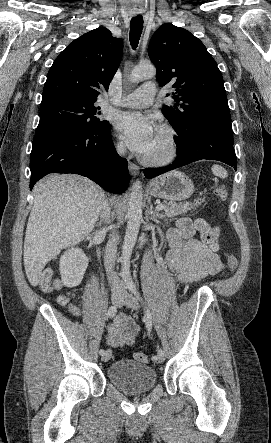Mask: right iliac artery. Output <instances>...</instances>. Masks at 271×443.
Masks as SVG:
<instances>
[{
	"label": "right iliac artery",
	"instance_id": "1",
	"mask_svg": "<svg viewBox=\"0 0 271 443\" xmlns=\"http://www.w3.org/2000/svg\"><path fill=\"white\" fill-rule=\"evenodd\" d=\"M116 313H117V307L116 306H111L109 309H108V316L110 317V318H113L115 315H116ZM104 350L103 349H100L99 350V354L100 355H103L104 354Z\"/></svg>",
	"mask_w": 271,
	"mask_h": 443
}]
</instances>
